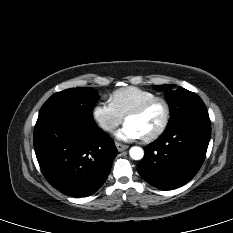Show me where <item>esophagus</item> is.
Masks as SVG:
<instances>
[{
  "label": "esophagus",
  "mask_w": 233,
  "mask_h": 233,
  "mask_svg": "<svg viewBox=\"0 0 233 233\" xmlns=\"http://www.w3.org/2000/svg\"><path fill=\"white\" fill-rule=\"evenodd\" d=\"M115 144H116L117 150L119 152H122V151H124V150H126L128 148V145L121 144L119 142H116Z\"/></svg>",
  "instance_id": "34e87169"
}]
</instances>
